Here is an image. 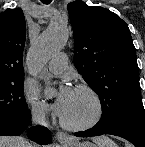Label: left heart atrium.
<instances>
[{
	"mask_svg": "<svg viewBox=\"0 0 145 147\" xmlns=\"http://www.w3.org/2000/svg\"><path fill=\"white\" fill-rule=\"evenodd\" d=\"M73 94L74 90L67 84L60 87L57 99L54 103V110L58 115L63 116L65 114Z\"/></svg>",
	"mask_w": 145,
	"mask_h": 147,
	"instance_id": "obj_1",
	"label": "left heart atrium"
}]
</instances>
